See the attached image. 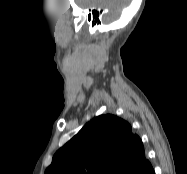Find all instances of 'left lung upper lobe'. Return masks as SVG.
<instances>
[{
	"mask_svg": "<svg viewBox=\"0 0 187 174\" xmlns=\"http://www.w3.org/2000/svg\"><path fill=\"white\" fill-rule=\"evenodd\" d=\"M149 164L130 124L106 114L88 122L61 147L45 174H132Z\"/></svg>",
	"mask_w": 187,
	"mask_h": 174,
	"instance_id": "5c2ea615",
	"label": "left lung upper lobe"
}]
</instances>
